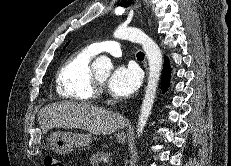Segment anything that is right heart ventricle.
<instances>
[{"instance_id": "e07e8e85", "label": "right heart ventricle", "mask_w": 231, "mask_h": 166, "mask_svg": "<svg viewBox=\"0 0 231 166\" xmlns=\"http://www.w3.org/2000/svg\"><path fill=\"white\" fill-rule=\"evenodd\" d=\"M95 55L88 46L64 61L56 77V93L59 97L74 101H89L95 97L91 69Z\"/></svg>"}]
</instances>
